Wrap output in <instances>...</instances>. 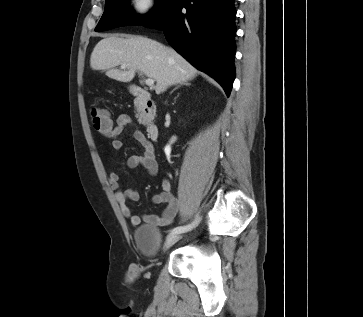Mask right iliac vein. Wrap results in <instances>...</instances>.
I'll list each match as a JSON object with an SVG mask.
<instances>
[{
  "label": "right iliac vein",
  "mask_w": 363,
  "mask_h": 317,
  "mask_svg": "<svg viewBox=\"0 0 363 317\" xmlns=\"http://www.w3.org/2000/svg\"><path fill=\"white\" fill-rule=\"evenodd\" d=\"M182 235L180 233H172L170 234L164 243V250L169 249L171 246H173L176 242H178L181 239Z\"/></svg>",
  "instance_id": "obj_1"
}]
</instances>
